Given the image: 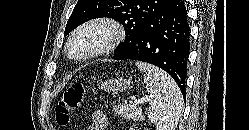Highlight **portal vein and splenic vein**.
<instances>
[{
  "instance_id": "portal-vein-and-splenic-vein-1",
  "label": "portal vein and splenic vein",
  "mask_w": 249,
  "mask_h": 130,
  "mask_svg": "<svg viewBox=\"0 0 249 130\" xmlns=\"http://www.w3.org/2000/svg\"><path fill=\"white\" fill-rule=\"evenodd\" d=\"M147 101V98H142V99H134V104L139 105Z\"/></svg>"
}]
</instances>
